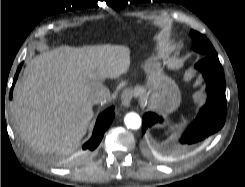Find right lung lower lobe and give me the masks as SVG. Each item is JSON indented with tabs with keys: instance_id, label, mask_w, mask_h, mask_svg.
I'll return each instance as SVG.
<instances>
[{
	"instance_id": "98d812e1",
	"label": "right lung lower lobe",
	"mask_w": 245,
	"mask_h": 187,
	"mask_svg": "<svg viewBox=\"0 0 245 187\" xmlns=\"http://www.w3.org/2000/svg\"><path fill=\"white\" fill-rule=\"evenodd\" d=\"M21 67H22V63L18 67L17 72L15 74L13 85H12L10 95H9V99H12L13 88L18 78V74H19ZM114 116L115 114L113 111V107H111L109 110H106L102 114L99 115L96 121L95 128H94L91 139L83 145L82 149L83 151H85L84 155H89L90 152H92L93 150L97 148V146L99 145L100 141L102 140L104 136V132L108 129V127L112 123Z\"/></svg>"
}]
</instances>
